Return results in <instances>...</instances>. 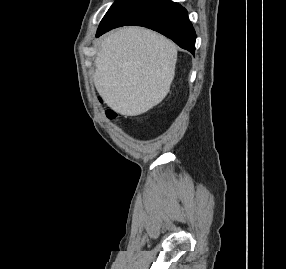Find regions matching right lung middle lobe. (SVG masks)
I'll return each mask as SVG.
<instances>
[{"label":"right lung middle lobe","instance_id":"right-lung-middle-lobe-1","mask_svg":"<svg viewBox=\"0 0 286 269\" xmlns=\"http://www.w3.org/2000/svg\"><path fill=\"white\" fill-rule=\"evenodd\" d=\"M162 0H116L103 17L98 31L125 25Z\"/></svg>","mask_w":286,"mask_h":269}]
</instances>
